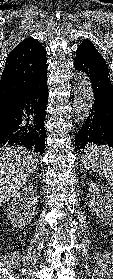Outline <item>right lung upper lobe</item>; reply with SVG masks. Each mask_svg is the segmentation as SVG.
I'll use <instances>...</instances> for the list:
<instances>
[{"label": "right lung upper lobe", "instance_id": "right-lung-upper-lobe-1", "mask_svg": "<svg viewBox=\"0 0 113 279\" xmlns=\"http://www.w3.org/2000/svg\"><path fill=\"white\" fill-rule=\"evenodd\" d=\"M46 50L34 38L21 41L8 55L0 80V112L46 71Z\"/></svg>", "mask_w": 113, "mask_h": 279}]
</instances>
